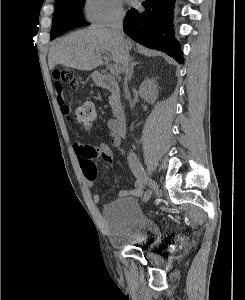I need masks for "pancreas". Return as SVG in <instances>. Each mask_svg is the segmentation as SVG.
I'll return each instance as SVG.
<instances>
[{
	"label": "pancreas",
	"mask_w": 245,
	"mask_h": 300,
	"mask_svg": "<svg viewBox=\"0 0 245 300\" xmlns=\"http://www.w3.org/2000/svg\"><path fill=\"white\" fill-rule=\"evenodd\" d=\"M112 102H113V99H112V98H110V103L112 104Z\"/></svg>",
	"instance_id": "obj_1"
}]
</instances>
